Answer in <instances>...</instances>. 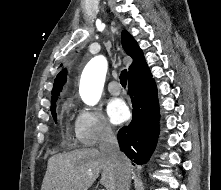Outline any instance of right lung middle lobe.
<instances>
[{
    "label": "right lung middle lobe",
    "instance_id": "1",
    "mask_svg": "<svg viewBox=\"0 0 221 190\" xmlns=\"http://www.w3.org/2000/svg\"><path fill=\"white\" fill-rule=\"evenodd\" d=\"M56 100H54L53 102H51V113L52 116L55 120V122H57V115H56V104H55Z\"/></svg>",
    "mask_w": 221,
    "mask_h": 190
}]
</instances>
